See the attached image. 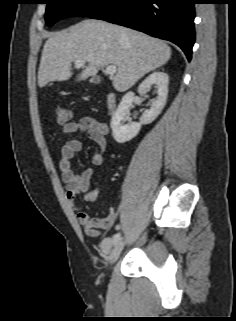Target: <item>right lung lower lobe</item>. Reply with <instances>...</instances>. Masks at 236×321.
Masks as SVG:
<instances>
[{
	"mask_svg": "<svg viewBox=\"0 0 236 321\" xmlns=\"http://www.w3.org/2000/svg\"><path fill=\"white\" fill-rule=\"evenodd\" d=\"M195 0H111L89 18L130 27L178 45L191 60Z\"/></svg>",
	"mask_w": 236,
	"mask_h": 321,
	"instance_id": "right-lung-lower-lobe-1",
	"label": "right lung lower lobe"
}]
</instances>
